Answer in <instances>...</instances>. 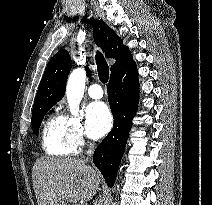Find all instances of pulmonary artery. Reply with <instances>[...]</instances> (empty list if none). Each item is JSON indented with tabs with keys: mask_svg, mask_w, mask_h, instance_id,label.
Wrapping results in <instances>:
<instances>
[{
	"mask_svg": "<svg viewBox=\"0 0 212 205\" xmlns=\"http://www.w3.org/2000/svg\"><path fill=\"white\" fill-rule=\"evenodd\" d=\"M88 94L93 99H100L103 97V90L98 83H93L88 88Z\"/></svg>",
	"mask_w": 212,
	"mask_h": 205,
	"instance_id": "1",
	"label": "pulmonary artery"
}]
</instances>
